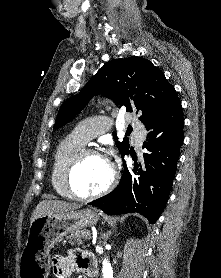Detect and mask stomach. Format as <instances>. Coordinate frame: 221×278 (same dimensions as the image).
<instances>
[{
    "label": "stomach",
    "mask_w": 221,
    "mask_h": 278,
    "mask_svg": "<svg viewBox=\"0 0 221 278\" xmlns=\"http://www.w3.org/2000/svg\"><path fill=\"white\" fill-rule=\"evenodd\" d=\"M99 220L92 209L72 210L38 217L31 223L20 264V278H50L49 251L69 233L79 231Z\"/></svg>",
    "instance_id": "stomach-1"
}]
</instances>
